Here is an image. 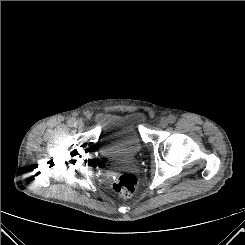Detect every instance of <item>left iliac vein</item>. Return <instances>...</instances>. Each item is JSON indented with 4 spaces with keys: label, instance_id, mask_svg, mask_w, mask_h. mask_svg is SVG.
<instances>
[{
    "label": "left iliac vein",
    "instance_id": "1",
    "mask_svg": "<svg viewBox=\"0 0 245 245\" xmlns=\"http://www.w3.org/2000/svg\"><path fill=\"white\" fill-rule=\"evenodd\" d=\"M168 123H169V120L165 117L161 118L159 121V125L163 128L166 127L168 125Z\"/></svg>",
    "mask_w": 245,
    "mask_h": 245
}]
</instances>
